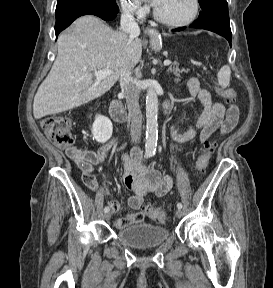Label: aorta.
<instances>
[{"label": "aorta", "instance_id": "aorta-1", "mask_svg": "<svg viewBox=\"0 0 273 288\" xmlns=\"http://www.w3.org/2000/svg\"><path fill=\"white\" fill-rule=\"evenodd\" d=\"M158 97L153 89H148L146 94V141L145 152L153 155L156 152L158 137Z\"/></svg>", "mask_w": 273, "mask_h": 288}]
</instances>
